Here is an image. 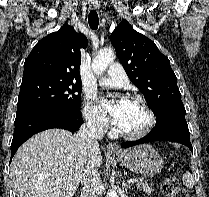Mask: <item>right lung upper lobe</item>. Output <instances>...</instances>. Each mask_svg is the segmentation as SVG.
<instances>
[{
  "mask_svg": "<svg viewBox=\"0 0 209 197\" xmlns=\"http://www.w3.org/2000/svg\"><path fill=\"white\" fill-rule=\"evenodd\" d=\"M86 47L87 38L64 24L35 45L25 60L22 84L44 79L80 82V49Z\"/></svg>",
  "mask_w": 209,
  "mask_h": 197,
  "instance_id": "obj_1",
  "label": "right lung upper lobe"
}]
</instances>
